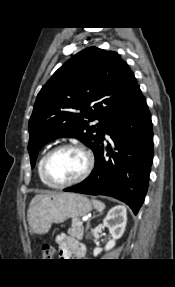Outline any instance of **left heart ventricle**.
Returning <instances> with one entry per match:
<instances>
[{
  "mask_svg": "<svg viewBox=\"0 0 175 287\" xmlns=\"http://www.w3.org/2000/svg\"><path fill=\"white\" fill-rule=\"evenodd\" d=\"M86 166L84 154L76 149H62L49 160L47 171L50 179L56 183L70 181L79 176Z\"/></svg>",
  "mask_w": 175,
  "mask_h": 287,
  "instance_id": "1",
  "label": "left heart ventricle"
}]
</instances>
